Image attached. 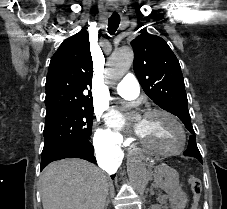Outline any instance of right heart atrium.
Returning <instances> with one entry per match:
<instances>
[{
    "label": "right heart atrium",
    "mask_w": 227,
    "mask_h": 209,
    "mask_svg": "<svg viewBox=\"0 0 227 209\" xmlns=\"http://www.w3.org/2000/svg\"><path fill=\"white\" fill-rule=\"evenodd\" d=\"M93 144L99 154L107 156H118L123 152L127 141L113 128L98 127L93 138Z\"/></svg>",
    "instance_id": "obj_1"
}]
</instances>
